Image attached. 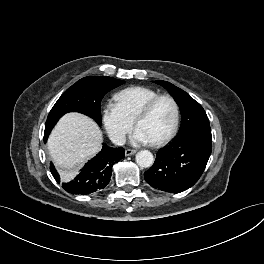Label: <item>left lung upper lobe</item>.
<instances>
[{
  "label": "left lung upper lobe",
  "instance_id": "left-lung-upper-lobe-1",
  "mask_svg": "<svg viewBox=\"0 0 264 264\" xmlns=\"http://www.w3.org/2000/svg\"><path fill=\"white\" fill-rule=\"evenodd\" d=\"M164 86L179 105L182 125L177 137L185 136L199 128H209V119L202 106L188 93L166 81H155Z\"/></svg>",
  "mask_w": 264,
  "mask_h": 264
}]
</instances>
